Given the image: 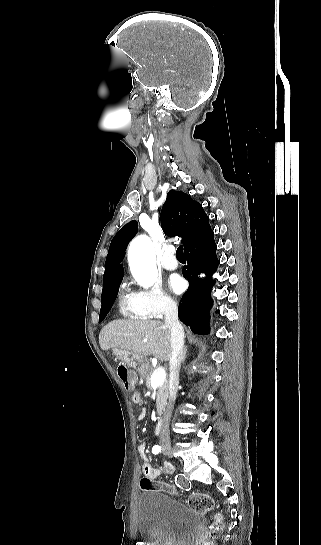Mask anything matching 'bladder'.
Returning a JSON list of instances; mask_svg holds the SVG:
<instances>
[{"instance_id":"31cf9c89","label":"bladder","mask_w":321,"mask_h":545,"mask_svg":"<svg viewBox=\"0 0 321 545\" xmlns=\"http://www.w3.org/2000/svg\"><path fill=\"white\" fill-rule=\"evenodd\" d=\"M206 525L202 512L161 490L143 492L137 503L140 538L150 545H192Z\"/></svg>"}]
</instances>
